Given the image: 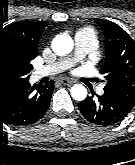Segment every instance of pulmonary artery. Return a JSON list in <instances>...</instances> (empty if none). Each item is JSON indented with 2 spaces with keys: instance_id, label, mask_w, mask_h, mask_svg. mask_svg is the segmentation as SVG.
I'll list each match as a JSON object with an SVG mask.
<instances>
[{
  "instance_id": "pulmonary-artery-1",
  "label": "pulmonary artery",
  "mask_w": 135,
  "mask_h": 165,
  "mask_svg": "<svg viewBox=\"0 0 135 165\" xmlns=\"http://www.w3.org/2000/svg\"><path fill=\"white\" fill-rule=\"evenodd\" d=\"M94 43L90 34L77 33L75 37V52L70 58L59 60L49 66L39 69L37 76H42L48 73H57L70 68L77 61L83 59L93 48ZM99 93H102V88H99Z\"/></svg>"
}]
</instances>
